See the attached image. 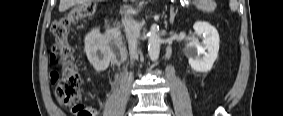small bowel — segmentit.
Masks as SVG:
<instances>
[{
	"label": "small bowel",
	"mask_w": 283,
	"mask_h": 116,
	"mask_svg": "<svg viewBox=\"0 0 283 116\" xmlns=\"http://www.w3.org/2000/svg\"><path fill=\"white\" fill-rule=\"evenodd\" d=\"M53 57L51 56V59H52ZM52 74H55V73H52ZM97 115H99V111L98 110H96V109H92V115L91 116H97Z\"/></svg>",
	"instance_id": "small-bowel-1"
}]
</instances>
